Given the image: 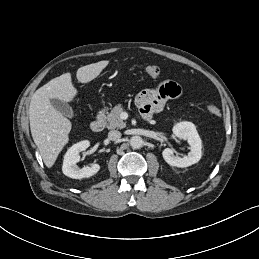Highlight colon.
<instances>
[{"mask_svg":"<svg viewBox=\"0 0 259 259\" xmlns=\"http://www.w3.org/2000/svg\"><path fill=\"white\" fill-rule=\"evenodd\" d=\"M144 72L151 77H158L162 74V68L158 65H147L144 67ZM209 114L214 117L220 115V109L214 104H208L206 107Z\"/></svg>","mask_w":259,"mask_h":259,"instance_id":"colon-1","label":"colon"}]
</instances>
